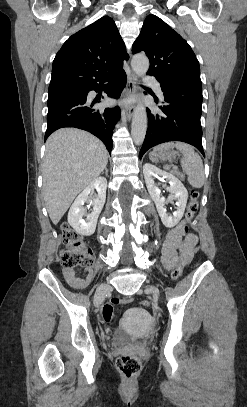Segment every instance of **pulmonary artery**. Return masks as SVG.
Segmentation results:
<instances>
[{"label": "pulmonary artery", "mask_w": 247, "mask_h": 407, "mask_svg": "<svg viewBox=\"0 0 247 407\" xmlns=\"http://www.w3.org/2000/svg\"><path fill=\"white\" fill-rule=\"evenodd\" d=\"M144 81L150 85H152V87L154 88V90L156 91V93L162 97L163 96V92L161 90L160 84L159 82L153 77V76H149V75H145L144 76Z\"/></svg>", "instance_id": "1"}]
</instances>
